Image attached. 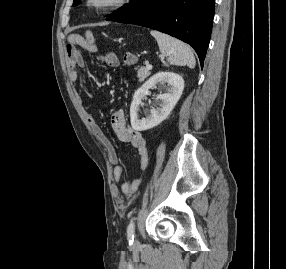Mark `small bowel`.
<instances>
[{"mask_svg":"<svg viewBox=\"0 0 286 269\" xmlns=\"http://www.w3.org/2000/svg\"><path fill=\"white\" fill-rule=\"evenodd\" d=\"M85 47L91 52H95L97 50L91 42L85 43ZM65 53L69 68V78L73 83H76L79 80L78 69L84 68L86 65V61L84 57L78 52L77 48L72 42L67 45ZM100 61L111 67H117L120 64L119 59L113 52H105L100 58ZM86 120L92 131L104 143L107 149L109 162L115 165L113 169V177L115 184L119 186L121 176L124 172V168L118 165V154L111 145V143L106 139L103 132L99 128L96 120L90 113L86 114ZM111 126L113 131L116 133V135L122 142L131 145L137 150L139 155V169L140 171H144L147 168L149 161L146 139L140 132L132 129L128 125L127 120L125 118V114L122 110H118L112 114ZM141 181V177L132 176L121 185V188L124 192H128L129 194L135 193L138 190Z\"/></svg>","mask_w":286,"mask_h":269,"instance_id":"1","label":"small bowel"}]
</instances>
